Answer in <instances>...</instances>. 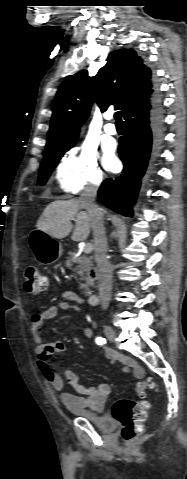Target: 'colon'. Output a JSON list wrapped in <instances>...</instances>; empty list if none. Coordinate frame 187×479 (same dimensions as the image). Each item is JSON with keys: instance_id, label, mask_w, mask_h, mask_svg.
Returning a JSON list of instances; mask_svg holds the SVG:
<instances>
[{"instance_id": "1", "label": "colon", "mask_w": 187, "mask_h": 479, "mask_svg": "<svg viewBox=\"0 0 187 479\" xmlns=\"http://www.w3.org/2000/svg\"><path fill=\"white\" fill-rule=\"evenodd\" d=\"M24 288L29 294H37L46 288V276L37 267L29 266L25 269ZM154 387L151 379L142 381L138 386V392L144 394ZM149 404L145 401H136L130 398H122L116 401L112 408V416L122 426V436L131 441L142 432V425L147 417Z\"/></svg>"}]
</instances>
